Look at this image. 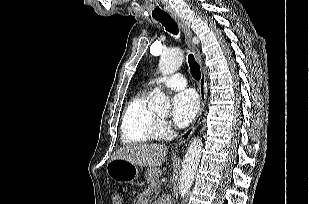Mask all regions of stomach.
<instances>
[{"label": "stomach", "mask_w": 309, "mask_h": 204, "mask_svg": "<svg viewBox=\"0 0 309 204\" xmlns=\"http://www.w3.org/2000/svg\"><path fill=\"white\" fill-rule=\"evenodd\" d=\"M107 175L120 183H129L139 176L138 165L123 159H112L106 166Z\"/></svg>", "instance_id": "1"}]
</instances>
